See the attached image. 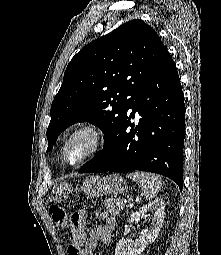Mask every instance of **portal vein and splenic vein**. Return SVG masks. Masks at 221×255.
<instances>
[{
	"instance_id": "portal-vein-and-splenic-vein-1",
	"label": "portal vein and splenic vein",
	"mask_w": 221,
	"mask_h": 255,
	"mask_svg": "<svg viewBox=\"0 0 221 255\" xmlns=\"http://www.w3.org/2000/svg\"><path fill=\"white\" fill-rule=\"evenodd\" d=\"M124 202L126 203V202H128L127 200H124Z\"/></svg>"
}]
</instances>
